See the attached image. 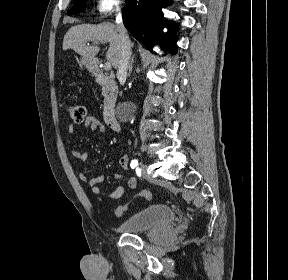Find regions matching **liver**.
I'll return each instance as SVG.
<instances>
[{
	"mask_svg": "<svg viewBox=\"0 0 288 280\" xmlns=\"http://www.w3.org/2000/svg\"><path fill=\"white\" fill-rule=\"evenodd\" d=\"M88 41L109 42L110 46L106 53V58L113 68H118L121 40L116 25L104 22L97 25L79 24L73 26L64 36L63 50L73 49L82 57L94 58L100 48L86 44Z\"/></svg>",
	"mask_w": 288,
	"mask_h": 280,
	"instance_id": "obj_1",
	"label": "liver"
}]
</instances>
